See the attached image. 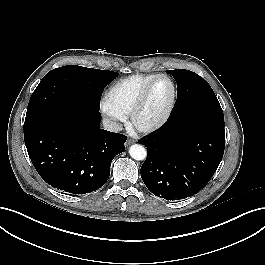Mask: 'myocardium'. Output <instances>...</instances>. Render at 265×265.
<instances>
[{"instance_id":"obj_1","label":"myocardium","mask_w":265,"mask_h":265,"mask_svg":"<svg viewBox=\"0 0 265 265\" xmlns=\"http://www.w3.org/2000/svg\"><path fill=\"white\" fill-rule=\"evenodd\" d=\"M165 78L167 79L171 86H172V96L170 99V102L168 104V107L164 114L155 122L150 124H141L138 120L140 113L142 112L143 108L146 105V102L148 100V97L150 95V92L154 86V84L157 82V80ZM177 101V86L175 81L167 74H157L142 90L141 94L139 95L136 103L134 104L130 114V124L131 126L139 133L143 134H150L153 132H156L157 130L161 129L170 119L173 110L175 108Z\"/></svg>"}]
</instances>
